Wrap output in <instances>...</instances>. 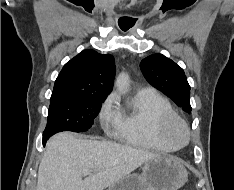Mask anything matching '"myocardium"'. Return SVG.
Listing matches in <instances>:
<instances>
[{"instance_id":"obj_1","label":"myocardium","mask_w":234,"mask_h":190,"mask_svg":"<svg viewBox=\"0 0 234 190\" xmlns=\"http://www.w3.org/2000/svg\"><path fill=\"white\" fill-rule=\"evenodd\" d=\"M176 132H179L180 135L176 136ZM161 134L165 140L176 145L178 148L186 145L191 136L188 124L177 114L164 118L161 124Z\"/></svg>"}]
</instances>
